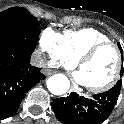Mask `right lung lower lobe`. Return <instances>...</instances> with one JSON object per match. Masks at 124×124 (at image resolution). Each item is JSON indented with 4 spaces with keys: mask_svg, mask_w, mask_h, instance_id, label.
I'll list each match as a JSON object with an SVG mask.
<instances>
[{
    "mask_svg": "<svg viewBox=\"0 0 124 124\" xmlns=\"http://www.w3.org/2000/svg\"><path fill=\"white\" fill-rule=\"evenodd\" d=\"M40 30L0 31V120L12 116L28 90L45 79L30 64Z\"/></svg>",
    "mask_w": 124,
    "mask_h": 124,
    "instance_id": "obj_1",
    "label": "right lung lower lobe"
}]
</instances>
